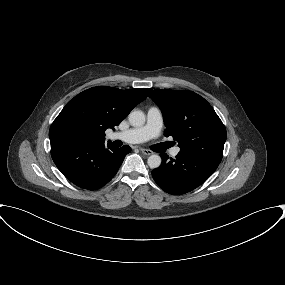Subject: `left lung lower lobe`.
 Returning a JSON list of instances; mask_svg holds the SVG:
<instances>
[{
	"mask_svg": "<svg viewBox=\"0 0 285 285\" xmlns=\"http://www.w3.org/2000/svg\"><path fill=\"white\" fill-rule=\"evenodd\" d=\"M162 164L152 171L155 182L167 193L181 195L203 184L220 163L179 152L175 159L162 153Z\"/></svg>",
	"mask_w": 285,
	"mask_h": 285,
	"instance_id": "0a47b994",
	"label": "left lung lower lobe"
}]
</instances>
